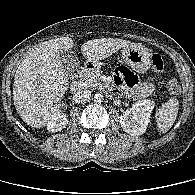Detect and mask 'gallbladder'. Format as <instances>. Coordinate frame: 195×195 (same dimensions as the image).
<instances>
[{"mask_svg":"<svg viewBox=\"0 0 195 195\" xmlns=\"http://www.w3.org/2000/svg\"><path fill=\"white\" fill-rule=\"evenodd\" d=\"M59 59L62 62L64 68L69 72L73 73L78 70L80 62L78 60V57L76 54L72 51L69 50L67 52L65 51H60L58 53Z\"/></svg>","mask_w":195,"mask_h":195,"instance_id":"obj_1","label":"gallbladder"}]
</instances>
